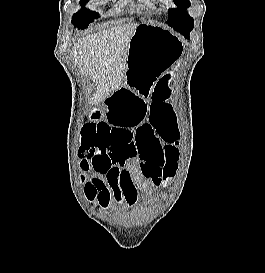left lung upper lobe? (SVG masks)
<instances>
[{
    "instance_id": "5c2ea615",
    "label": "left lung upper lobe",
    "mask_w": 265,
    "mask_h": 273,
    "mask_svg": "<svg viewBox=\"0 0 265 273\" xmlns=\"http://www.w3.org/2000/svg\"><path fill=\"white\" fill-rule=\"evenodd\" d=\"M178 6L175 9H169L168 25L176 31H190L193 28V19L186 12V8L190 6L189 0H173Z\"/></svg>"
}]
</instances>
